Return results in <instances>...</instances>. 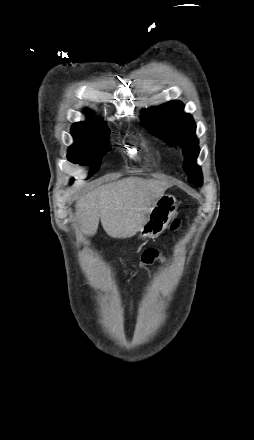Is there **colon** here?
<instances>
[{
    "label": "colon",
    "instance_id": "colon-1",
    "mask_svg": "<svg viewBox=\"0 0 254 440\" xmlns=\"http://www.w3.org/2000/svg\"><path fill=\"white\" fill-rule=\"evenodd\" d=\"M180 225L179 220H175L171 228L172 230H176ZM161 259L160 252L155 248H147L142 252L141 255V266H148L151 265Z\"/></svg>",
    "mask_w": 254,
    "mask_h": 440
}]
</instances>
